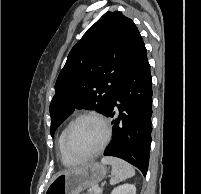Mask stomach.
<instances>
[{
  "label": "stomach",
  "mask_w": 201,
  "mask_h": 194,
  "mask_svg": "<svg viewBox=\"0 0 201 194\" xmlns=\"http://www.w3.org/2000/svg\"><path fill=\"white\" fill-rule=\"evenodd\" d=\"M107 168L98 162H90L81 167L56 175L49 184L46 194H80L104 179Z\"/></svg>",
  "instance_id": "0dacf381"
}]
</instances>
